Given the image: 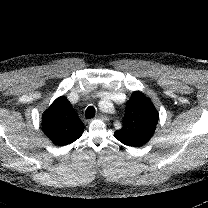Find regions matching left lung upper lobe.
Here are the masks:
<instances>
[{
    "label": "left lung upper lobe",
    "instance_id": "obj_1",
    "mask_svg": "<svg viewBox=\"0 0 208 208\" xmlns=\"http://www.w3.org/2000/svg\"><path fill=\"white\" fill-rule=\"evenodd\" d=\"M158 119L159 114L150 99L135 91L126 102L123 127L114 133V137L127 146H142L153 136Z\"/></svg>",
    "mask_w": 208,
    "mask_h": 208
}]
</instances>
